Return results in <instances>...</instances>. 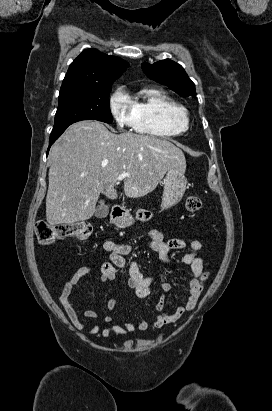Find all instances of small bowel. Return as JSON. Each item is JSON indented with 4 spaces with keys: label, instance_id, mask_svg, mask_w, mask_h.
<instances>
[{
    "label": "small bowel",
    "instance_id": "obj_1",
    "mask_svg": "<svg viewBox=\"0 0 272 411\" xmlns=\"http://www.w3.org/2000/svg\"><path fill=\"white\" fill-rule=\"evenodd\" d=\"M141 218L143 220H148L150 216L149 214H143ZM148 236L149 241L147 247L156 252L159 258L167 265L172 264L170 258V252L172 250H190V252L185 253L181 259V264L188 267L187 274L190 278L189 295L183 306L176 308L172 312H164L165 294L169 292L170 285L164 280L145 276L135 260L126 259L134 249L131 244H116L111 240L104 242L103 248L109 253L110 260L103 263L101 266L100 282L109 283L115 281L119 276V270L124 269L126 271L127 285L133 290L135 296L138 298L148 297L152 292V287L155 284H158L161 291V297L155 306L158 315L153 320L152 327L159 329L177 321L186 312L192 311L197 306L209 272L199 254L203 247L201 241H184L182 239L166 240L163 232L157 228L150 229ZM93 270V267L90 266H83L77 269L63 287L60 302L73 326L78 330H84L89 335L100 333L103 338H109L112 334L127 336L136 331H147L150 324L145 319H141L137 324L131 322L111 324L113 318L110 315H105L102 320L109 325L103 329L96 323H86L79 319L77 312L69 302V296L80 280L91 274ZM117 304V298H110L106 303V308L107 310L112 311L117 307ZM82 314L87 319L98 318V314L94 310L86 309L83 310Z\"/></svg>",
    "mask_w": 272,
    "mask_h": 411
}]
</instances>
